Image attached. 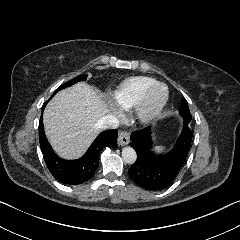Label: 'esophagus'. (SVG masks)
I'll return each instance as SVG.
<instances>
[{"label": "esophagus", "mask_w": 240, "mask_h": 240, "mask_svg": "<svg viewBox=\"0 0 240 240\" xmlns=\"http://www.w3.org/2000/svg\"><path fill=\"white\" fill-rule=\"evenodd\" d=\"M130 142V133L128 131H121L118 134V145L124 146Z\"/></svg>", "instance_id": "esophagus-1"}]
</instances>
